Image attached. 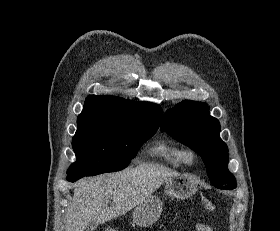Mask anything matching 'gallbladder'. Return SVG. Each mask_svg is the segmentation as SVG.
<instances>
[{"instance_id": "gallbladder-1", "label": "gallbladder", "mask_w": 280, "mask_h": 231, "mask_svg": "<svg viewBox=\"0 0 280 231\" xmlns=\"http://www.w3.org/2000/svg\"><path fill=\"white\" fill-rule=\"evenodd\" d=\"M98 223H92V221H89L88 225H86L84 231H94L96 229Z\"/></svg>"}]
</instances>
